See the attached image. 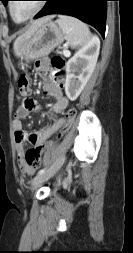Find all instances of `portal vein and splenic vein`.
I'll return each mask as SVG.
<instances>
[{
  "label": "portal vein and splenic vein",
  "instance_id": "obj_1",
  "mask_svg": "<svg viewBox=\"0 0 133 253\" xmlns=\"http://www.w3.org/2000/svg\"><path fill=\"white\" fill-rule=\"evenodd\" d=\"M63 54H64L65 56H69V55H70V52H69L67 49H64Z\"/></svg>",
  "mask_w": 133,
  "mask_h": 253
}]
</instances>
